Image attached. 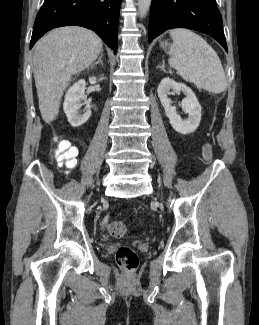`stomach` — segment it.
<instances>
[{
	"label": "stomach",
	"mask_w": 259,
	"mask_h": 325,
	"mask_svg": "<svg viewBox=\"0 0 259 325\" xmlns=\"http://www.w3.org/2000/svg\"><path fill=\"white\" fill-rule=\"evenodd\" d=\"M162 48H166L168 46V43L166 41H163L160 43Z\"/></svg>",
	"instance_id": "1"
}]
</instances>
